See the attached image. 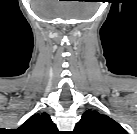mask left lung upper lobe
I'll return each instance as SVG.
<instances>
[{
    "label": "left lung upper lobe",
    "mask_w": 137,
    "mask_h": 134,
    "mask_svg": "<svg viewBox=\"0 0 137 134\" xmlns=\"http://www.w3.org/2000/svg\"><path fill=\"white\" fill-rule=\"evenodd\" d=\"M74 134H127V132L112 118L89 109L76 124Z\"/></svg>",
    "instance_id": "obj_1"
}]
</instances>
